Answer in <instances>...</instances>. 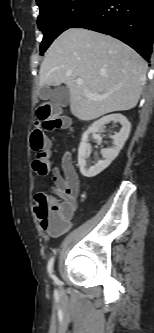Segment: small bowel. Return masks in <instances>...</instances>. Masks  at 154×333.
<instances>
[{
    "instance_id": "c3829d8e",
    "label": "small bowel",
    "mask_w": 154,
    "mask_h": 333,
    "mask_svg": "<svg viewBox=\"0 0 154 333\" xmlns=\"http://www.w3.org/2000/svg\"><path fill=\"white\" fill-rule=\"evenodd\" d=\"M61 169L62 172L58 168H53V181L58 195L63 199L62 204L67 210L68 217H70L76 207L80 182L72 154L69 151H65L62 155ZM68 228L69 224L62 232H66Z\"/></svg>"
}]
</instances>
